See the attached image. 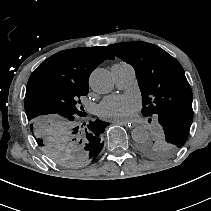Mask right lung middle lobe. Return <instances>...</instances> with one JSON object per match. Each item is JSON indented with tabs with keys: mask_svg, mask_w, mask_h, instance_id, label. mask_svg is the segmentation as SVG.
Segmentation results:
<instances>
[{
	"mask_svg": "<svg viewBox=\"0 0 211 211\" xmlns=\"http://www.w3.org/2000/svg\"><path fill=\"white\" fill-rule=\"evenodd\" d=\"M88 90L72 85L41 84L30 93V129L42 152L65 167H81L95 159L93 148L109 123L88 121L80 97Z\"/></svg>",
	"mask_w": 211,
	"mask_h": 211,
	"instance_id": "1",
	"label": "right lung middle lobe"
}]
</instances>
